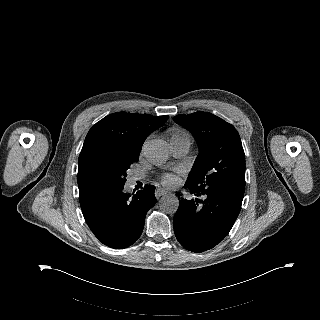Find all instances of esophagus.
Returning a JSON list of instances; mask_svg holds the SVG:
<instances>
[{
	"mask_svg": "<svg viewBox=\"0 0 320 320\" xmlns=\"http://www.w3.org/2000/svg\"><path fill=\"white\" fill-rule=\"evenodd\" d=\"M168 193V191L166 190V189H164V188H161V187H159V188H157L156 190H155V196L157 197V198H160L161 196H163V195H165V194H167Z\"/></svg>",
	"mask_w": 320,
	"mask_h": 320,
	"instance_id": "obj_1",
	"label": "esophagus"
}]
</instances>
